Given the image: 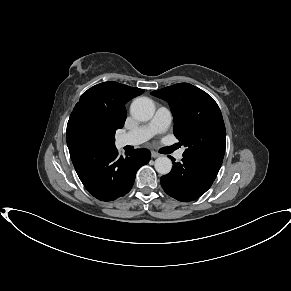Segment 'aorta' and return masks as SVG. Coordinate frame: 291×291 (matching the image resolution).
I'll return each instance as SVG.
<instances>
[{"label":"aorta","mask_w":291,"mask_h":291,"mask_svg":"<svg viewBox=\"0 0 291 291\" xmlns=\"http://www.w3.org/2000/svg\"><path fill=\"white\" fill-rule=\"evenodd\" d=\"M155 112V106L147 97L136 98L130 106L131 115L139 121L150 120ZM155 169L159 174H168L172 169V162L167 156H160L155 160Z\"/></svg>","instance_id":"obj_1"}]
</instances>
